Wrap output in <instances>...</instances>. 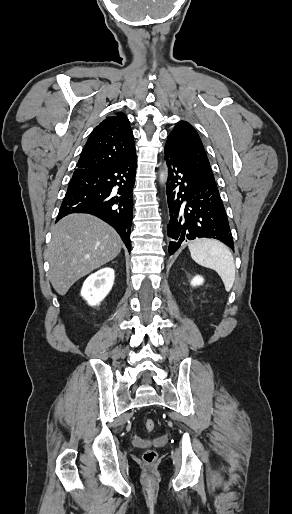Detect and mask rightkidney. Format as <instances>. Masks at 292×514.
Here are the masks:
<instances>
[{
	"instance_id": "obj_1",
	"label": "right kidney",
	"mask_w": 292,
	"mask_h": 514,
	"mask_svg": "<svg viewBox=\"0 0 292 514\" xmlns=\"http://www.w3.org/2000/svg\"><path fill=\"white\" fill-rule=\"evenodd\" d=\"M114 284V270L112 268H102L95 274H91L87 280H85L81 296L84 300H87L90 306H98L105 296L109 294Z\"/></svg>"
}]
</instances>
